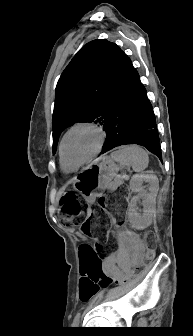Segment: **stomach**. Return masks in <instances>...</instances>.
<instances>
[{
    "label": "stomach",
    "instance_id": "1",
    "mask_svg": "<svg viewBox=\"0 0 193 336\" xmlns=\"http://www.w3.org/2000/svg\"><path fill=\"white\" fill-rule=\"evenodd\" d=\"M117 171L118 167L111 158H99L82 169L74 180L73 188L88 203H93L100 192L110 187Z\"/></svg>",
    "mask_w": 193,
    "mask_h": 336
}]
</instances>
